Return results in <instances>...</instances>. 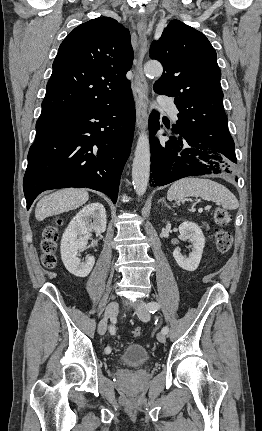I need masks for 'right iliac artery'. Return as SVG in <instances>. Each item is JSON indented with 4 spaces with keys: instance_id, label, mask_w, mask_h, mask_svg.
Here are the masks:
<instances>
[{
    "instance_id": "82829eb1",
    "label": "right iliac artery",
    "mask_w": 262,
    "mask_h": 431,
    "mask_svg": "<svg viewBox=\"0 0 262 431\" xmlns=\"http://www.w3.org/2000/svg\"><path fill=\"white\" fill-rule=\"evenodd\" d=\"M110 333L113 335V334H114V330H113V329H111V330H110ZM105 352H106L107 354H109V353L111 352V348H110V347H106Z\"/></svg>"
}]
</instances>
